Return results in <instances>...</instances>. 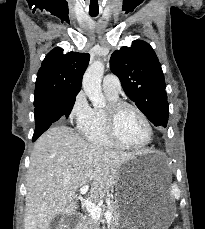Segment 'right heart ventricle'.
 Segmentation results:
<instances>
[{
    "instance_id": "e07e8e85",
    "label": "right heart ventricle",
    "mask_w": 205,
    "mask_h": 229,
    "mask_svg": "<svg viewBox=\"0 0 205 229\" xmlns=\"http://www.w3.org/2000/svg\"><path fill=\"white\" fill-rule=\"evenodd\" d=\"M105 94L110 102L118 100V96H112L108 93ZM79 130L84 139L93 145L105 148L115 147L106 132L103 109L93 108L90 121Z\"/></svg>"
}]
</instances>
